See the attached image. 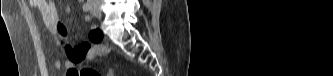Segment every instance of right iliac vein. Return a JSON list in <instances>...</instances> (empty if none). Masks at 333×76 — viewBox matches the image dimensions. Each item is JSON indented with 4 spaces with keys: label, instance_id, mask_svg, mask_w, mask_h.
<instances>
[{
    "label": "right iliac vein",
    "instance_id": "1",
    "mask_svg": "<svg viewBox=\"0 0 333 76\" xmlns=\"http://www.w3.org/2000/svg\"><path fill=\"white\" fill-rule=\"evenodd\" d=\"M92 10L95 12V14L97 16H101V13H100V10H99V7L97 5H92Z\"/></svg>",
    "mask_w": 333,
    "mask_h": 76
}]
</instances>
